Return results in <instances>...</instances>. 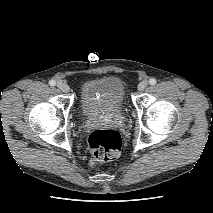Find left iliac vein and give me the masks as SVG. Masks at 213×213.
I'll return each mask as SVG.
<instances>
[{
  "label": "left iliac vein",
  "mask_w": 213,
  "mask_h": 213,
  "mask_svg": "<svg viewBox=\"0 0 213 213\" xmlns=\"http://www.w3.org/2000/svg\"><path fill=\"white\" fill-rule=\"evenodd\" d=\"M148 85V81L147 80H143L138 84V90L139 91H143Z\"/></svg>",
  "instance_id": "left-iliac-vein-1"
}]
</instances>
